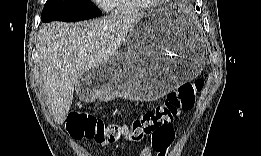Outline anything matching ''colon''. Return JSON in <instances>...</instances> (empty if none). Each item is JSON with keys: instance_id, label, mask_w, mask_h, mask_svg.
Masks as SVG:
<instances>
[{"instance_id": "colon-1", "label": "colon", "mask_w": 261, "mask_h": 156, "mask_svg": "<svg viewBox=\"0 0 261 156\" xmlns=\"http://www.w3.org/2000/svg\"><path fill=\"white\" fill-rule=\"evenodd\" d=\"M204 81L196 79L184 83L177 91L169 93L164 102L146 111L129 124L106 123L93 115L73 112L67 129L76 138L94 139L100 144L126 140L138 142L145 137L152 138L156 151L163 154L174 139L171 124L179 115L192 109Z\"/></svg>"}]
</instances>
